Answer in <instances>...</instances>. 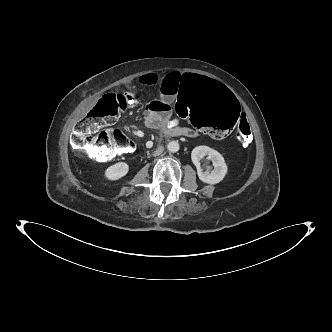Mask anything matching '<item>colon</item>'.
Listing matches in <instances>:
<instances>
[{"mask_svg": "<svg viewBox=\"0 0 332 332\" xmlns=\"http://www.w3.org/2000/svg\"><path fill=\"white\" fill-rule=\"evenodd\" d=\"M178 116L189 121L202 132L213 137L231 133L241 147H248L252 140L249 123L241 119L236 96L202 72L183 76L175 89ZM131 96L104 95L75 126L70 144L77 153H84L97 162H108L119 154L129 153L132 140L121 130L106 129L130 105Z\"/></svg>", "mask_w": 332, "mask_h": 332, "instance_id": "5ec220e1", "label": "colon"}]
</instances>
